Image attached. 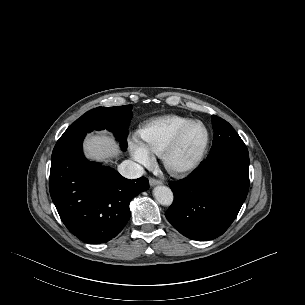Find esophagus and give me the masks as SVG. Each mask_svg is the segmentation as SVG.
<instances>
[{
    "mask_svg": "<svg viewBox=\"0 0 305 305\" xmlns=\"http://www.w3.org/2000/svg\"><path fill=\"white\" fill-rule=\"evenodd\" d=\"M149 184H150V186L161 185L162 181L155 179V178H150Z\"/></svg>",
    "mask_w": 305,
    "mask_h": 305,
    "instance_id": "34e87169",
    "label": "esophagus"
}]
</instances>
